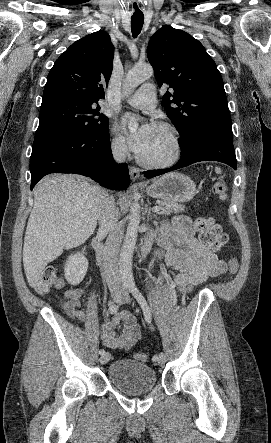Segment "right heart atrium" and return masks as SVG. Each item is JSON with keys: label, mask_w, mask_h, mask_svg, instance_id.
Segmentation results:
<instances>
[{"label": "right heart atrium", "mask_w": 271, "mask_h": 443, "mask_svg": "<svg viewBox=\"0 0 271 443\" xmlns=\"http://www.w3.org/2000/svg\"><path fill=\"white\" fill-rule=\"evenodd\" d=\"M110 147L114 154L124 155L127 153V143L124 137L118 132L115 126L110 131Z\"/></svg>", "instance_id": "obj_1"}]
</instances>
